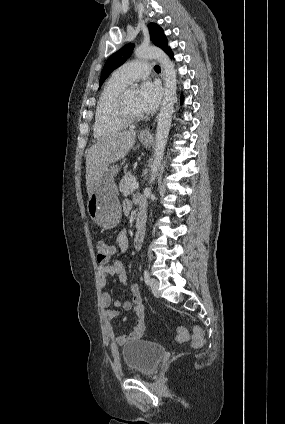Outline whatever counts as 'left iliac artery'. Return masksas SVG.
Instances as JSON below:
<instances>
[{"label": "left iliac artery", "instance_id": "44dca946", "mask_svg": "<svg viewBox=\"0 0 285 424\" xmlns=\"http://www.w3.org/2000/svg\"><path fill=\"white\" fill-rule=\"evenodd\" d=\"M144 280H145V283L147 285H149V283H150V275H149V272L147 270H144Z\"/></svg>", "mask_w": 285, "mask_h": 424}]
</instances>
